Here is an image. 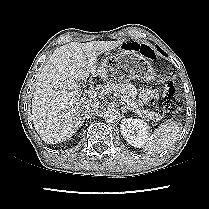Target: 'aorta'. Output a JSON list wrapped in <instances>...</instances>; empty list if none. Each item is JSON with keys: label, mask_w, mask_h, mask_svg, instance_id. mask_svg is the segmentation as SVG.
<instances>
[{"label": "aorta", "mask_w": 209, "mask_h": 209, "mask_svg": "<svg viewBox=\"0 0 209 209\" xmlns=\"http://www.w3.org/2000/svg\"><path fill=\"white\" fill-rule=\"evenodd\" d=\"M119 118V112L115 108H107L103 112V119L108 122L112 123L118 120Z\"/></svg>", "instance_id": "762f6f07"}]
</instances>
